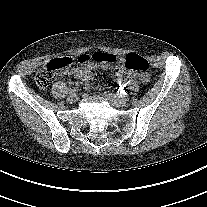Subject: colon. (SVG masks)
I'll return each mask as SVG.
<instances>
[{
    "instance_id": "5ec220e1",
    "label": "colon",
    "mask_w": 207,
    "mask_h": 207,
    "mask_svg": "<svg viewBox=\"0 0 207 207\" xmlns=\"http://www.w3.org/2000/svg\"><path fill=\"white\" fill-rule=\"evenodd\" d=\"M92 61L102 63H112L116 61V56L110 53L97 52L87 54ZM75 61L72 57L63 56L50 61L44 68L37 72L35 83L39 88H47L55 79V71L71 68ZM124 66L126 69L137 73H146L149 69V62L139 54L131 53L125 58Z\"/></svg>"
}]
</instances>
